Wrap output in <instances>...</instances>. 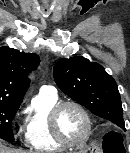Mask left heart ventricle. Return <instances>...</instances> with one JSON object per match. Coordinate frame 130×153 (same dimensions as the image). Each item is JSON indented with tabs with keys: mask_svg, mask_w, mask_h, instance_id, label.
Here are the masks:
<instances>
[{
	"mask_svg": "<svg viewBox=\"0 0 130 153\" xmlns=\"http://www.w3.org/2000/svg\"><path fill=\"white\" fill-rule=\"evenodd\" d=\"M59 127L65 138L79 141L85 134L86 122L77 108L66 106L59 114Z\"/></svg>",
	"mask_w": 130,
	"mask_h": 153,
	"instance_id": "obj_1",
	"label": "left heart ventricle"
}]
</instances>
